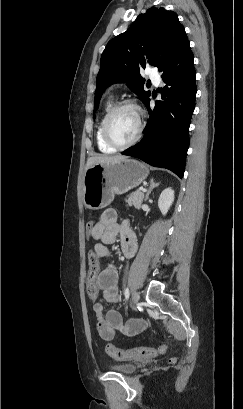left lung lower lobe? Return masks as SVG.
Returning a JSON list of instances; mask_svg holds the SVG:
<instances>
[{"label": "left lung lower lobe", "mask_w": 243, "mask_h": 409, "mask_svg": "<svg viewBox=\"0 0 243 409\" xmlns=\"http://www.w3.org/2000/svg\"><path fill=\"white\" fill-rule=\"evenodd\" d=\"M193 59L188 41L162 71L166 83L161 91L163 101H157L154 109L149 106V98L144 102L149 120L143 139L122 152L152 166L169 169L180 178L185 170L197 91Z\"/></svg>", "instance_id": "left-lung-lower-lobe-1"}]
</instances>
